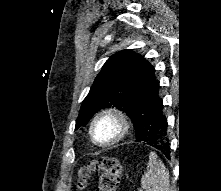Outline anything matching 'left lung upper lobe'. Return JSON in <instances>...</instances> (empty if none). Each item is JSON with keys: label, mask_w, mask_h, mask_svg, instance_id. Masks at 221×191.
I'll return each mask as SVG.
<instances>
[{"label": "left lung upper lobe", "mask_w": 221, "mask_h": 191, "mask_svg": "<svg viewBox=\"0 0 221 191\" xmlns=\"http://www.w3.org/2000/svg\"><path fill=\"white\" fill-rule=\"evenodd\" d=\"M141 60L142 56L133 50H122L106 61L82 102L75 129L85 125L98 110L111 106L124 111L133 122L132 88Z\"/></svg>", "instance_id": "1"}]
</instances>
